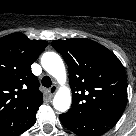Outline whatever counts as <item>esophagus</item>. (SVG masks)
Here are the masks:
<instances>
[{
  "instance_id": "esophagus-1",
  "label": "esophagus",
  "mask_w": 136,
  "mask_h": 136,
  "mask_svg": "<svg viewBox=\"0 0 136 136\" xmlns=\"http://www.w3.org/2000/svg\"><path fill=\"white\" fill-rule=\"evenodd\" d=\"M56 91H57L56 85H52L48 90L50 96H53L56 93Z\"/></svg>"
}]
</instances>
